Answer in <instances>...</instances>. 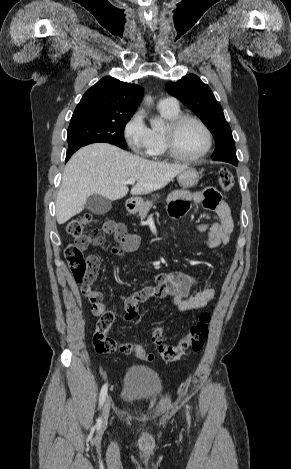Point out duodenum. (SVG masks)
I'll return each mask as SVG.
<instances>
[{"label":"duodenum","mask_w":291,"mask_h":469,"mask_svg":"<svg viewBox=\"0 0 291 469\" xmlns=\"http://www.w3.org/2000/svg\"><path fill=\"white\" fill-rule=\"evenodd\" d=\"M126 208L129 212H133L136 208V203L133 200H128L126 203Z\"/></svg>","instance_id":"410a0bca"}]
</instances>
